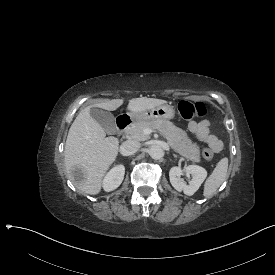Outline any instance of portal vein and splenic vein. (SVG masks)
I'll return each instance as SVG.
<instances>
[{"label": "portal vein and splenic vein", "mask_w": 275, "mask_h": 275, "mask_svg": "<svg viewBox=\"0 0 275 275\" xmlns=\"http://www.w3.org/2000/svg\"><path fill=\"white\" fill-rule=\"evenodd\" d=\"M152 131H153L152 129L146 128V129H144V134L148 135V134L152 133Z\"/></svg>", "instance_id": "portal-vein-and-splenic-vein-1"}]
</instances>
